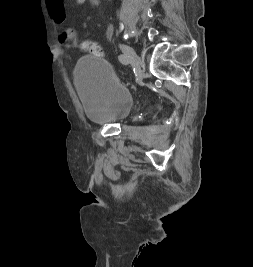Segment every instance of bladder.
<instances>
[{
    "label": "bladder",
    "mask_w": 253,
    "mask_h": 267,
    "mask_svg": "<svg viewBox=\"0 0 253 267\" xmlns=\"http://www.w3.org/2000/svg\"><path fill=\"white\" fill-rule=\"evenodd\" d=\"M74 79L86 118L97 124L117 120L130 108L132 94L115 76L103 58L88 55L80 59Z\"/></svg>",
    "instance_id": "obj_1"
}]
</instances>
